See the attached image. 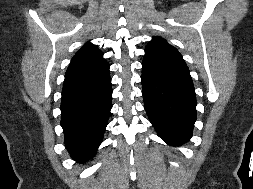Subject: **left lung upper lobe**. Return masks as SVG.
<instances>
[{
    "mask_svg": "<svg viewBox=\"0 0 253 189\" xmlns=\"http://www.w3.org/2000/svg\"><path fill=\"white\" fill-rule=\"evenodd\" d=\"M143 63L173 69L190 75L179 51L161 37H153L147 44Z\"/></svg>",
    "mask_w": 253,
    "mask_h": 189,
    "instance_id": "1",
    "label": "left lung upper lobe"
}]
</instances>
